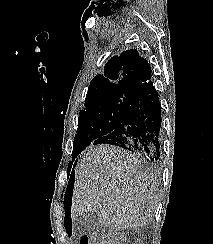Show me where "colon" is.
Here are the masks:
<instances>
[{"label":"colon","instance_id":"1","mask_svg":"<svg viewBox=\"0 0 213 244\" xmlns=\"http://www.w3.org/2000/svg\"><path fill=\"white\" fill-rule=\"evenodd\" d=\"M80 244H115L114 241L102 234V233H96L91 236H82L80 240Z\"/></svg>","mask_w":213,"mask_h":244}]
</instances>
